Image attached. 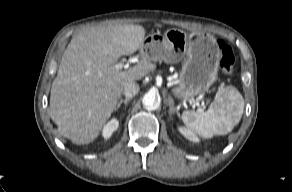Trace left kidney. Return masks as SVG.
I'll list each match as a JSON object with an SVG mask.
<instances>
[{"label": "left kidney", "mask_w": 292, "mask_h": 192, "mask_svg": "<svg viewBox=\"0 0 292 192\" xmlns=\"http://www.w3.org/2000/svg\"><path fill=\"white\" fill-rule=\"evenodd\" d=\"M179 131L188 140L193 141V142L199 141L198 137L189 129H186L184 127H179Z\"/></svg>", "instance_id": "left-kidney-1"}]
</instances>
